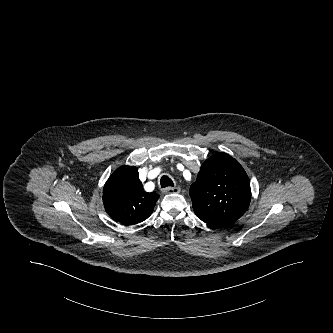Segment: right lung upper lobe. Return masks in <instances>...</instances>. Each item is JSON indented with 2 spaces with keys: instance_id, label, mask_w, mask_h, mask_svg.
I'll list each match as a JSON object with an SVG mask.
<instances>
[{
  "instance_id": "obj_1",
  "label": "right lung upper lobe",
  "mask_w": 333,
  "mask_h": 333,
  "mask_svg": "<svg viewBox=\"0 0 333 333\" xmlns=\"http://www.w3.org/2000/svg\"><path fill=\"white\" fill-rule=\"evenodd\" d=\"M159 198L155 192H145L134 166H122L107 180L103 189L106 212L123 225L146 220Z\"/></svg>"
}]
</instances>
